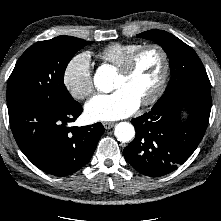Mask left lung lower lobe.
Segmentation results:
<instances>
[{
  "mask_svg": "<svg viewBox=\"0 0 221 221\" xmlns=\"http://www.w3.org/2000/svg\"><path fill=\"white\" fill-rule=\"evenodd\" d=\"M189 114L180 120V109ZM209 88L189 85L164 94L150 112L132 119L134 140L123 153L129 164L149 177L169 174L195 151L208 126Z\"/></svg>",
  "mask_w": 221,
  "mask_h": 221,
  "instance_id": "0a47b994",
  "label": "left lung lower lobe"
}]
</instances>
